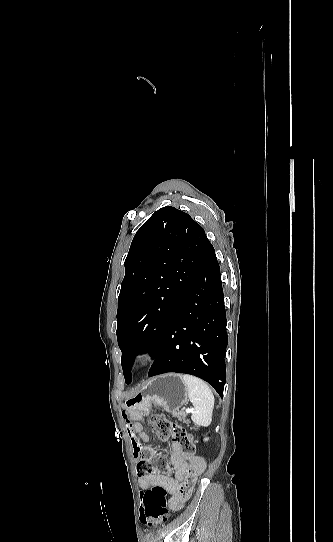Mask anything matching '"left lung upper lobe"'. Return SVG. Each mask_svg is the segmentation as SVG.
<instances>
[{
  "mask_svg": "<svg viewBox=\"0 0 333 542\" xmlns=\"http://www.w3.org/2000/svg\"><path fill=\"white\" fill-rule=\"evenodd\" d=\"M212 247L204 229L174 207L157 210L136 232L118 297L117 340L125 382L137 355L154 357Z\"/></svg>",
  "mask_w": 333,
  "mask_h": 542,
  "instance_id": "1",
  "label": "left lung upper lobe"
}]
</instances>
